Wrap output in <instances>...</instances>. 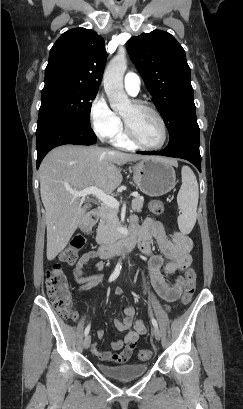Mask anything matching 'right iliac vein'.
<instances>
[{
	"label": "right iliac vein",
	"instance_id": "right-iliac-vein-1",
	"mask_svg": "<svg viewBox=\"0 0 243 409\" xmlns=\"http://www.w3.org/2000/svg\"><path fill=\"white\" fill-rule=\"evenodd\" d=\"M83 345H84L85 349H88L90 347V345H91V336L90 335H87L85 337Z\"/></svg>",
	"mask_w": 243,
	"mask_h": 409
}]
</instances>
